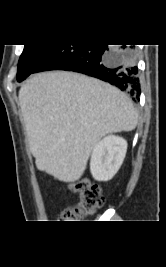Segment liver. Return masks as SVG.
I'll use <instances>...</instances> for the list:
<instances>
[{
	"mask_svg": "<svg viewBox=\"0 0 166 267\" xmlns=\"http://www.w3.org/2000/svg\"><path fill=\"white\" fill-rule=\"evenodd\" d=\"M19 104L37 168L67 183L81 178L102 137L138 122L126 94L73 72L34 75L20 88Z\"/></svg>",
	"mask_w": 166,
	"mask_h": 267,
	"instance_id": "obj_1",
	"label": "liver"
}]
</instances>
